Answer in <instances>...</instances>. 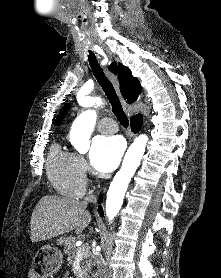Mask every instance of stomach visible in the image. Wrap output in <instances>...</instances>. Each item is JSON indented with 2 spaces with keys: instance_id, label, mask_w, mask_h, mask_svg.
<instances>
[{
  "instance_id": "stomach-1",
  "label": "stomach",
  "mask_w": 221,
  "mask_h": 278,
  "mask_svg": "<svg viewBox=\"0 0 221 278\" xmlns=\"http://www.w3.org/2000/svg\"><path fill=\"white\" fill-rule=\"evenodd\" d=\"M37 254L34 264H28V269H33L31 270L33 278H47L61 268L63 255L57 248L49 245L43 246Z\"/></svg>"
}]
</instances>
